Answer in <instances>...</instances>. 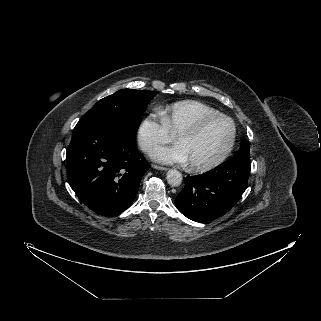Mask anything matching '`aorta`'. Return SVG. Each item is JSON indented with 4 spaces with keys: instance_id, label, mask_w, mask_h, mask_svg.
Segmentation results:
<instances>
[{
    "instance_id": "aorta-1",
    "label": "aorta",
    "mask_w": 321,
    "mask_h": 321,
    "mask_svg": "<svg viewBox=\"0 0 321 321\" xmlns=\"http://www.w3.org/2000/svg\"><path fill=\"white\" fill-rule=\"evenodd\" d=\"M166 179L169 185L177 187L182 183V174L176 169H169Z\"/></svg>"
}]
</instances>
